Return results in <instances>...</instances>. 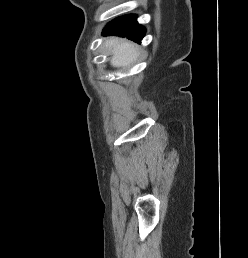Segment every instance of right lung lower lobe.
<instances>
[{
    "label": "right lung lower lobe",
    "mask_w": 248,
    "mask_h": 258,
    "mask_svg": "<svg viewBox=\"0 0 248 258\" xmlns=\"http://www.w3.org/2000/svg\"><path fill=\"white\" fill-rule=\"evenodd\" d=\"M136 15H125L109 22L103 29V35L127 37L140 43L145 34V28L136 21Z\"/></svg>",
    "instance_id": "obj_1"
}]
</instances>
